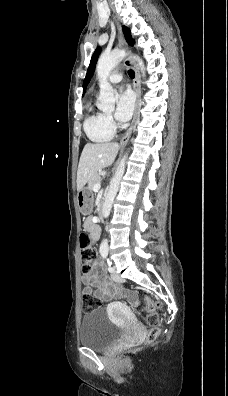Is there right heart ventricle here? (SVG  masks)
<instances>
[{
  "label": "right heart ventricle",
  "mask_w": 228,
  "mask_h": 396,
  "mask_svg": "<svg viewBox=\"0 0 228 396\" xmlns=\"http://www.w3.org/2000/svg\"><path fill=\"white\" fill-rule=\"evenodd\" d=\"M83 127L87 137L95 143L107 142L114 136L113 128L106 122V115L92 106H90Z\"/></svg>",
  "instance_id": "e07e8e85"
}]
</instances>
